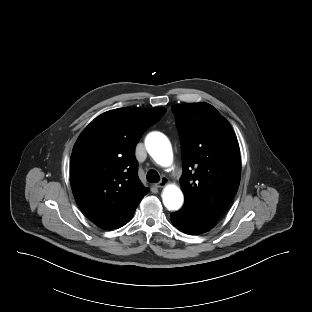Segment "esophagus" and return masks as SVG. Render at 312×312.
Returning a JSON list of instances; mask_svg holds the SVG:
<instances>
[{"label": "esophagus", "instance_id": "esophagus-1", "mask_svg": "<svg viewBox=\"0 0 312 312\" xmlns=\"http://www.w3.org/2000/svg\"><path fill=\"white\" fill-rule=\"evenodd\" d=\"M168 183H169L168 178L162 177V178H161V181L158 182V183H156L155 186H156L157 188H162V187L166 186Z\"/></svg>", "mask_w": 312, "mask_h": 312}]
</instances>
